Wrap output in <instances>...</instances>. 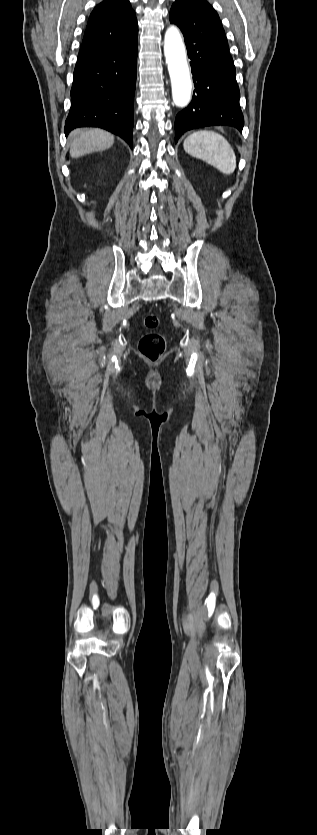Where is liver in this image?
Masks as SVG:
<instances>
[{
    "mask_svg": "<svg viewBox=\"0 0 317 835\" xmlns=\"http://www.w3.org/2000/svg\"><path fill=\"white\" fill-rule=\"evenodd\" d=\"M70 156L78 158L91 152L103 151L114 143V136L100 129H76L70 135Z\"/></svg>",
    "mask_w": 317,
    "mask_h": 835,
    "instance_id": "obj_1",
    "label": "liver"
}]
</instances>
